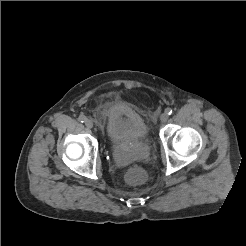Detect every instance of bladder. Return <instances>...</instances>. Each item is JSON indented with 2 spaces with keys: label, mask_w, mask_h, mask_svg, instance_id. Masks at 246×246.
<instances>
[{
  "label": "bladder",
  "mask_w": 246,
  "mask_h": 246,
  "mask_svg": "<svg viewBox=\"0 0 246 246\" xmlns=\"http://www.w3.org/2000/svg\"><path fill=\"white\" fill-rule=\"evenodd\" d=\"M106 134L110 141L135 142L145 140L148 136V126L134 108L121 100H109L104 106ZM147 150L124 152L115 150L112 154L113 162L118 166H125L133 162L147 160Z\"/></svg>",
  "instance_id": "1"
}]
</instances>
